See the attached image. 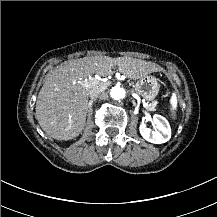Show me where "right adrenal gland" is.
Wrapping results in <instances>:
<instances>
[{
	"mask_svg": "<svg viewBox=\"0 0 217 217\" xmlns=\"http://www.w3.org/2000/svg\"><path fill=\"white\" fill-rule=\"evenodd\" d=\"M95 101H96V98L89 100L87 108L90 109L92 107L93 102H95Z\"/></svg>",
	"mask_w": 217,
	"mask_h": 217,
	"instance_id": "right-adrenal-gland-1",
	"label": "right adrenal gland"
}]
</instances>
